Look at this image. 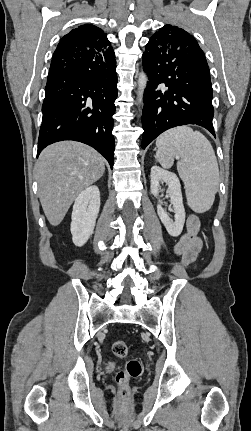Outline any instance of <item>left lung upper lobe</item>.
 <instances>
[{"instance_id": "5c2ea615", "label": "left lung upper lobe", "mask_w": 251, "mask_h": 431, "mask_svg": "<svg viewBox=\"0 0 251 431\" xmlns=\"http://www.w3.org/2000/svg\"><path fill=\"white\" fill-rule=\"evenodd\" d=\"M159 36L169 37L170 39H173L174 41L184 40V38H187V37L194 39L185 30L178 28L176 26H172V25H165L164 27L160 28L159 31L156 32L152 37L156 38Z\"/></svg>"}]
</instances>
